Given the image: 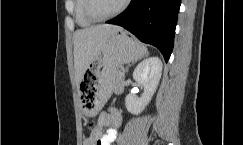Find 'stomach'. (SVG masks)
<instances>
[{
    "label": "stomach",
    "mask_w": 243,
    "mask_h": 145,
    "mask_svg": "<svg viewBox=\"0 0 243 145\" xmlns=\"http://www.w3.org/2000/svg\"><path fill=\"white\" fill-rule=\"evenodd\" d=\"M147 54L145 46L132 39L126 32L110 36L99 57L83 75L79 95L81 113L97 116L115 87V74L123 65L135 62Z\"/></svg>",
    "instance_id": "1"
}]
</instances>
